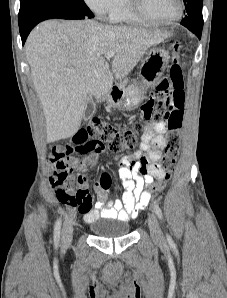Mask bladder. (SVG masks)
<instances>
[{
	"mask_svg": "<svg viewBox=\"0 0 227 298\" xmlns=\"http://www.w3.org/2000/svg\"><path fill=\"white\" fill-rule=\"evenodd\" d=\"M92 232L102 238L123 237L130 233V224L121 220H96L90 224Z\"/></svg>",
	"mask_w": 227,
	"mask_h": 298,
	"instance_id": "31cf9c89",
	"label": "bladder"
}]
</instances>
